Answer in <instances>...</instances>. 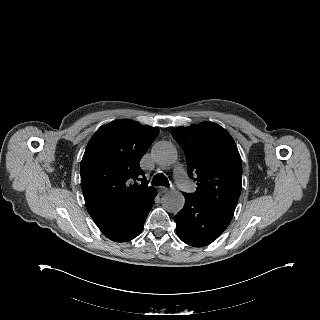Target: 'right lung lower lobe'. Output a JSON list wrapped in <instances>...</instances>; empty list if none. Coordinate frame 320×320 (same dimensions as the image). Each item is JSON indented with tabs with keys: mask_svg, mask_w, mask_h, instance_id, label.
Here are the masks:
<instances>
[{
	"mask_svg": "<svg viewBox=\"0 0 320 320\" xmlns=\"http://www.w3.org/2000/svg\"><path fill=\"white\" fill-rule=\"evenodd\" d=\"M157 191L141 206L108 219L99 220L96 223L101 232L110 240L125 242L137 237L144 226L149 211L154 204Z\"/></svg>",
	"mask_w": 320,
	"mask_h": 320,
	"instance_id": "1",
	"label": "right lung lower lobe"
}]
</instances>
